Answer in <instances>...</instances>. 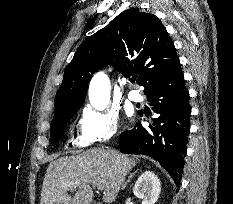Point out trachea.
Segmentation results:
<instances>
[{"mask_svg": "<svg viewBox=\"0 0 233 204\" xmlns=\"http://www.w3.org/2000/svg\"><path fill=\"white\" fill-rule=\"evenodd\" d=\"M131 82H132V83H134V82H135V80H134V79H132V80H131Z\"/></svg>", "mask_w": 233, "mask_h": 204, "instance_id": "1", "label": "trachea"}]
</instances>
